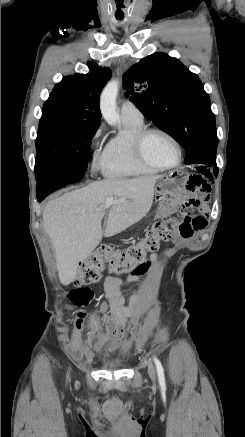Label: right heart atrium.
I'll return each mask as SVG.
<instances>
[{
  "instance_id": "right-heart-atrium-1",
  "label": "right heart atrium",
  "mask_w": 245,
  "mask_h": 437,
  "mask_svg": "<svg viewBox=\"0 0 245 437\" xmlns=\"http://www.w3.org/2000/svg\"><path fill=\"white\" fill-rule=\"evenodd\" d=\"M103 134V128L101 126H99L95 132L93 133L91 140H90V149L94 154V161H95V165L99 166L100 164V160H101V156L99 153V145H100V140Z\"/></svg>"
}]
</instances>
